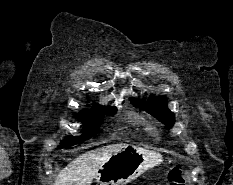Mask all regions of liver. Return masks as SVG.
Here are the masks:
<instances>
[{"mask_svg": "<svg viewBox=\"0 0 233 185\" xmlns=\"http://www.w3.org/2000/svg\"><path fill=\"white\" fill-rule=\"evenodd\" d=\"M126 144H111L81 154L60 171L53 185H90L101 166Z\"/></svg>", "mask_w": 233, "mask_h": 185, "instance_id": "obj_1", "label": "liver"}]
</instances>
